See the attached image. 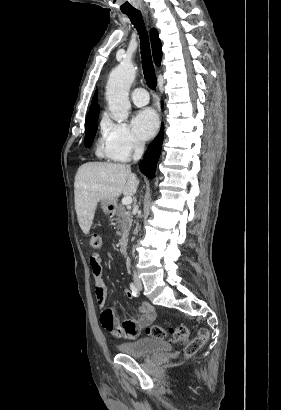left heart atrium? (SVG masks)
Wrapping results in <instances>:
<instances>
[{
  "label": "left heart atrium",
  "instance_id": "39dd6f15",
  "mask_svg": "<svg viewBox=\"0 0 281 410\" xmlns=\"http://www.w3.org/2000/svg\"><path fill=\"white\" fill-rule=\"evenodd\" d=\"M159 120L156 112L150 108L136 113L132 120L134 132L144 140L151 138L157 131Z\"/></svg>",
  "mask_w": 281,
  "mask_h": 410
}]
</instances>
